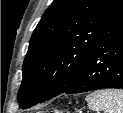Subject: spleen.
I'll list each match as a JSON object with an SVG mask.
<instances>
[{
    "mask_svg": "<svg viewBox=\"0 0 123 113\" xmlns=\"http://www.w3.org/2000/svg\"><path fill=\"white\" fill-rule=\"evenodd\" d=\"M89 109L99 113H123V90H98L86 97Z\"/></svg>",
    "mask_w": 123,
    "mask_h": 113,
    "instance_id": "spleen-1",
    "label": "spleen"
}]
</instances>
